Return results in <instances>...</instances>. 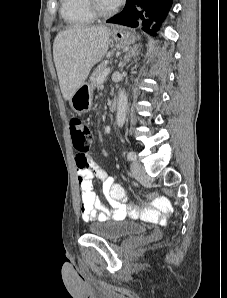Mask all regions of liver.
Instances as JSON below:
<instances>
[{
    "label": "liver",
    "instance_id": "obj_1",
    "mask_svg": "<svg viewBox=\"0 0 227 298\" xmlns=\"http://www.w3.org/2000/svg\"><path fill=\"white\" fill-rule=\"evenodd\" d=\"M111 31L106 26H76L57 34L53 56L63 98L70 100L91 69L106 54Z\"/></svg>",
    "mask_w": 227,
    "mask_h": 298
}]
</instances>
